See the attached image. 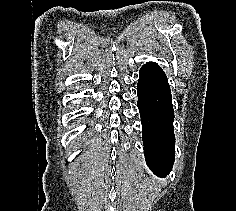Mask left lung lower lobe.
Returning <instances> with one entry per match:
<instances>
[{
    "label": "left lung lower lobe",
    "mask_w": 236,
    "mask_h": 211,
    "mask_svg": "<svg viewBox=\"0 0 236 211\" xmlns=\"http://www.w3.org/2000/svg\"><path fill=\"white\" fill-rule=\"evenodd\" d=\"M137 85L138 109L143 127L144 155L149 168L164 177L174 162V112L167 77L153 62L140 69Z\"/></svg>",
    "instance_id": "0a47b994"
}]
</instances>
